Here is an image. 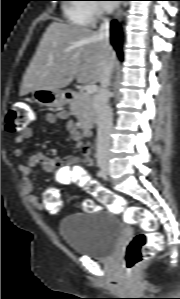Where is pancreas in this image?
<instances>
[{
	"instance_id": "1",
	"label": "pancreas",
	"mask_w": 180,
	"mask_h": 299,
	"mask_svg": "<svg viewBox=\"0 0 180 299\" xmlns=\"http://www.w3.org/2000/svg\"><path fill=\"white\" fill-rule=\"evenodd\" d=\"M70 109L76 113L78 126L83 129L92 127L96 119L94 109V99L91 95L85 92L74 93L70 103Z\"/></svg>"
}]
</instances>
